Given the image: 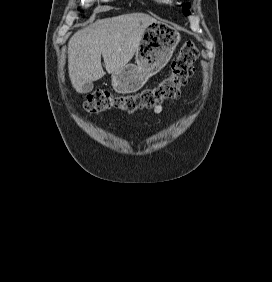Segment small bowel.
I'll return each mask as SVG.
<instances>
[{
	"label": "small bowel",
	"instance_id": "c3829d8e",
	"mask_svg": "<svg viewBox=\"0 0 272 282\" xmlns=\"http://www.w3.org/2000/svg\"><path fill=\"white\" fill-rule=\"evenodd\" d=\"M161 111H162V107H161V106H157V107L153 110V112L156 113V114L160 113Z\"/></svg>",
	"mask_w": 272,
	"mask_h": 282
}]
</instances>
